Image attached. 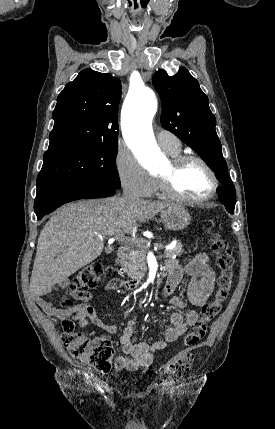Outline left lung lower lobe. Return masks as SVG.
I'll use <instances>...</instances> for the list:
<instances>
[{"mask_svg": "<svg viewBox=\"0 0 275 429\" xmlns=\"http://www.w3.org/2000/svg\"><path fill=\"white\" fill-rule=\"evenodd\" d=\"M218 193H219V198H223V197H225L226 196V187H220L219 189H218Z\"/></svg>", "mask_w": 275, "mask_h": 429, "instance_id": "obj_1", "label": "left lung lower lobe"}]
</instances>
